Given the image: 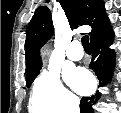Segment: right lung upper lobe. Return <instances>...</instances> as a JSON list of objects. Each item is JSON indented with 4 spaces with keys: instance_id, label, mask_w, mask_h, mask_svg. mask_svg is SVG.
<instances>
[{
    "instance_id": "obj_1",
    "label": "right lung upper lobe",
    "mask_w": 121,
    "mask_h": 113,
    "mask_svg": "<svg viewBox=\"0 0 121 113\" xmlns=\"http://www.w3.org/2000/svg\"><path fill=\"white\" fill-rule=\"evenodd\" d=\"M70 28L89 25L92 39L110 26L102 0H61ZM54 33L51 12L47 6H40L28 24L25 42L27 74L37 70L42 63L39 49Z\"/></svg>"
}]
</instances>
